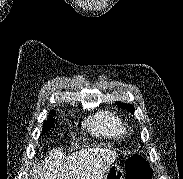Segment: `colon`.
Returning <instances> with one entry per match:
<instances>
[{
	"label": "colon",
	"instance_id": "colon-1",
	"mask_svg": "<svg viewBox=\"0 0 183 179\" xmlns=\"http://www.w3.org/2000/svg\"><path fill=\"white\" fill-rule=\"evenodd\" d=\"M127 179H151L147 162L137 153L132 154L126 162Z\"/></svg>",
	"mask_w": 183,
	"mask_h": 179
}]
</instances>
